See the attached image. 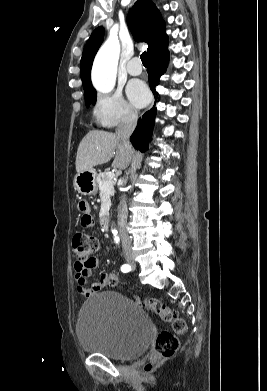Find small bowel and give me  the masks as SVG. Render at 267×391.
I'll return each mask as SVG.
<instances>
[{
    "label": "small bowel",
    "mask_w": 267,
    "mask_h": 391,
    "mask_svg": "<svg viewBox=\"0 0 267 391\" xmlns=\"http://www.w3.org/2000/svg\"><path fill=\"white\" fill-rule=\"evenodd\" d=\"M77 208L79 212L82 213L81 225L83 227H91L94 223V219L91 215L89 204L86 201H80L77 205ZM97 264L98 259L95 258L93 264L91 265H80L76 263L74 266L76 288L78 293L83 297H90L91 295L109 286V273H103L100 276V280L98 282L88 284V278L91 275L92 270L96 268Z\"/></svg>",
    "instance_id": "obj_1"
}]
</instances>
